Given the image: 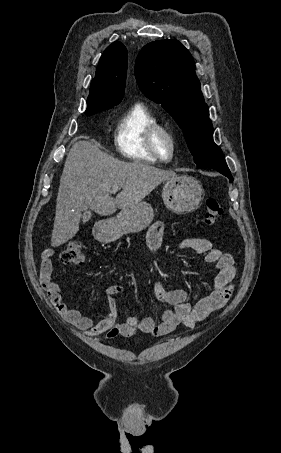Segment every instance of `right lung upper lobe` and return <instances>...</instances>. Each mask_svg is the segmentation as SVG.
I'll use <instances>...</instances> for the list:
<instances>
[{"mask_svg": "<svg viewBox=\"0 0 281 453\" xmlns=\"http://www.w3.org/2000/svg\"><path fill=\"white\" fill-rule=\"evenodd\" d=\"M127 61V50L118 41L104 51L90 85L86 114L110 109L121 102L125 90Z\"/></svg>", "mask_w": 281, "mask_h": 453, "instance_id": "right-lung-upper-lobe-1", "label": "right lung upper lobe"}]
</instances>
